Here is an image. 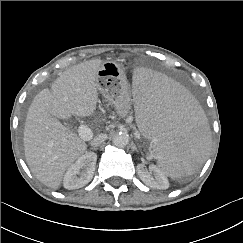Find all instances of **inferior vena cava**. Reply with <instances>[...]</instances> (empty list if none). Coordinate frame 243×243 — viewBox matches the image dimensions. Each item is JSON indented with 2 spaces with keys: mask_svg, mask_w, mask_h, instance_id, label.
I'll use <instances>...</instances> for the list:
<instances>
[{
  "mask_svg": "<svg viewBox=\"0 0 243 243\" xmlns=\"http://www.w3.org/2000/svg\"><path fill=\"white\" fill-rule=\"evenodd\" d=\"M107 139V134H99L98 136H96L92 141H91V145L94 147L99 146L102 142H104Z\"/></svg>",
  "mask_w": 243,
  "mask_h": 243,
  "instance_id": "1",
  "label": "inferior vena cava"
}]
</instances>
